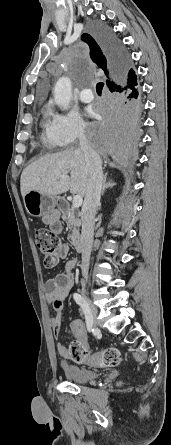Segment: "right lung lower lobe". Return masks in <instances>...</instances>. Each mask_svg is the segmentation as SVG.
Wrapping results in <instances>:
<instances>
[{
    "label": "right lung lower lobe",
    "instance_id": "right-lung-lower-lobe-1",
    "mask_svg": "<svg viewBox=\"0 0 171 445\" xmlns=\"http://www.w3.org/2000/svg\"><path fill=\"white\" fill-rule=\"evenodd\" d=\"M98 37L120 77L99 106L101 122L89 127L90 142L101 156L116 163H129L136 155L141 115L137 76L131 74L128 52L117 37L107 29L99 30Z\"/></svg>",
    "mask_w": 171,
    "mask_h": 445
}]
</instances>
